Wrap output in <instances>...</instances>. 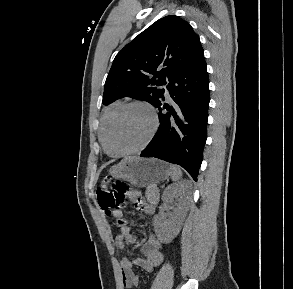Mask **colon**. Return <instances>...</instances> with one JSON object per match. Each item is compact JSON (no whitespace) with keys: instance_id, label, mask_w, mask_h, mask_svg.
I'll return each instance as SVG.
<instances>
[{"instance_id":"1","label":"colon","mask_w":293,"mask_h":289,"mask_svg":"<svg viewBox=\"0 0 293 289\" xmlns=\"http://www.w3.org/2000/svg\"><path fill=\"white\" fill-rule=\"evenodd\" d=\"M110 178L103 180V186L96 192V199L100 209L106 214L111 215L117 208H119L126 196L133 191V188L123 182H114L111 189H107ZM137 206V204H136Z\"/></svg>"}]
</instances>
